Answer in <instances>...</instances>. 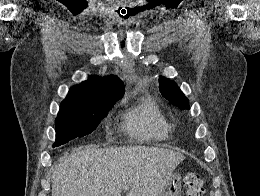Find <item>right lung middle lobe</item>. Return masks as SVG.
Segmentation results:
<instances>
[{
	"label": "right lung middle lobe",
	"instance_id": "dd1d6c3e",
	"mask_svg": "<svg viewBox=\"0 0 260 196\" xmlns=\"http://www.w3.org/2000/svg\"><path fill=\"white\" fill-rule=\"evenodd\" d=\"M111 107H61L55 120L56 142L53 147L92 133Z\"/></svg>",
	"mask_w": 260,
	"mask_h": 196
}]
</instances>
